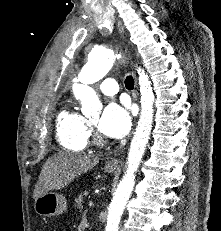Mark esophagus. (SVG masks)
I'll return each instance as SVG.
<instances>
[{
  "label": "esophagus",
  "mask_w": 221,
  "mask_h": 231,
  "mask_svg": "<svg viewBox=\"0 0 221 231\" xmlns=\"http://www.w3.org/2000/svg\"><path fill=\"white\" fill-rule=\"evenodd\" d=\"M118 29H119V32L121 34V36L124 38V35H125V31H124V26L122 25L121 21L118 20ZM135 91H134V98H137V81H136V77H135ZM108 166H111V167H116L118 165V160L116 158H112L108 164Z\"/></svg>",
  "instance_id": "obj_1"
}]
</instances>
